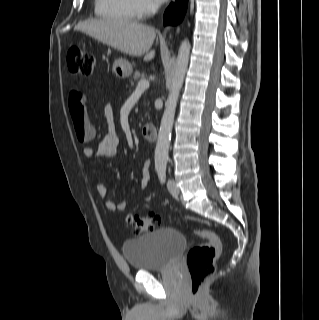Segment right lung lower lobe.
<instances>
[{
	"label": "right lung lower lobe",
	"instance_id": "obj_1",
	"mask_svg": "<svg viewBox=\"0 0 319 320\" xmlns=\"http://www.w3.org/2000/svg\"><path fill=\"white\" fill-rule=\"evenodd\" d=\"M188 0H176L175 3L170 4L164 14V25H176L180 23L186 12Z\"/></svg>",
	"mask_w": 319,
	"mask_h": 320
}]
</instances>
